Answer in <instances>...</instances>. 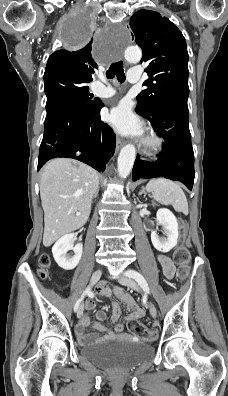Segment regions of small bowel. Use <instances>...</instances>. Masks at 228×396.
<instances>
[{"label": "small bowel", "instance_id": "obj_1", "mask_svg": "<svg viewBox=\"0 0 228 396\" xmlns=\"http://www.w3.org/2000/svg\"><path fill=\"white\" fill-rule=\"evenodd\" d=\"M158 262L160 263L162 267V271L164 276L167 279H172L174 274H175V266L171 259L167 257L166 255L159 254L157 256ZM98 293L104 297L107 298H112L115 297L121 301H123L129 311L130 314L125 318V320L121 323H118L115 325L113 329H110L104 325H102L100 322L103 321L106 318V314L104 311H98L96 313V319L97 322L94 323V328L98 330L99 332L104 333L103 337L94 335V334H86L85 328L89 325V313L91 310L95 307V302L90 300L85 304V312L81 317L80 322L76 326V336L79 340L80 343L82 344H87L91 342H98L102 339H108V338H123V339H138L140 338L139 336H131L127 333L124 332L125 329V324L128 323L130 320H137L139 318H142L144 316V312L139 306L137 305L136 301L129 295L127 294L122 288L117 287L115 289H110L106 284L102 283L98 287ZM121 314V308L119 304L116 301H113V314L111 317V320L113 322H117Z\"/></svg>", "mask_w": 228, "mask_h": 396}]
</instances>
